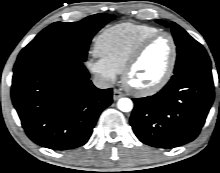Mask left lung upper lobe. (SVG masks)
I'll return each mask as SVG.
<instances>
[{"mask_svg":"<svg viewBox=\"0 0 220 173\" xmlns=\"http://www.w3.org/2000/svg\"><path fill=\"white\" fill-rule=\"evenodd\" d=\"M157 22L168 27L163 20H157ZM171 30L177 46L174 74L197 66L211 65L207 52L199 42L174 22L171 23Z\"/></svg>","mask_w":220,"mask_h":173,"instance_id":"obj_1","label":"left lung upper lobe"}]
</instances>
